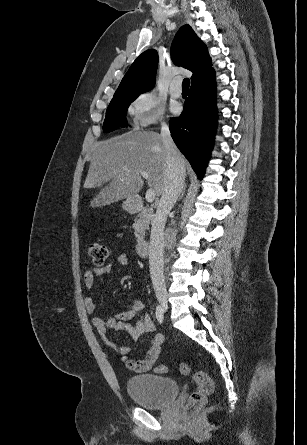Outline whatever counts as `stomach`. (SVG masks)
Returning a JSON list of instances; mask_svg holds the SVG:
<instances>
[{
    "mask_svg": "<svg viewBox=\"0 0 307 445\" xmlns=\"http://www.w3.org/2000/svg\"><path fill=\"white\" fill-rule=\"evenodd\" d=\"M123 208H127V202H123Z\"/></svg>",
    "mask_w": 307,
    "mask_h": 445,
    "instance_id": "stomach-1",
    "label": "stomach"
}]
</instances>
